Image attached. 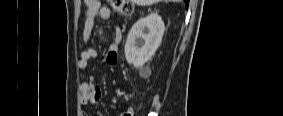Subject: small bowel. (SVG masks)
I'll return each mask as SVG.
<instances>
[{
  "label": "small bowel",
  "mask_w": 283,
  "mask_h": 116,
  "mask_svg": "<svg viewBox=\"0 0 283 116\" xmlns=\"http://www.w3.org/2000/svg\"><path fill=\"white\" fill-rule=\"evenodd\" d=\"M84 2L86 5V10L83 15V41L85 43V49L81 52L77 61L78 67L82 70H86L89 61L96 58L98 55L97 50L88 45V40L93 31L96 17H99L102 20H108L111 16L109 9L102 6L98 0H85ZM121 39L122 30L120 27H117L115 29V39L109 45L106 52V61L111 65L115 64L117 61V51ZM80 96L81 104L83 106H88L95 104L100 100L102 91L99 86L95 85L92 81H88L81 84ZM128 110L123 113L124 116L133 115V111H131L132 115H127Z\"/></svg>",
  "instance_id": "small-bowel-1"
}]
</instances>
